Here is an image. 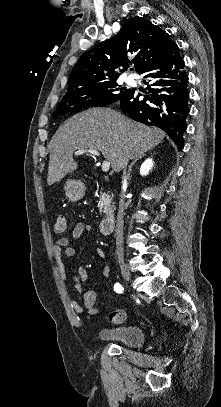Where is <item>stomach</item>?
Here are the masks:
<instances>
[{"instance_id": "stomach-1", "label": "stomach", "mask_w": 221, "mask_h": 407, "mask_svg": "<svg viewBox=\"0 0 221 407\" xmlns=\"http://www.w3.org/2000/svg\"><path fill=\"white\" fill-rule=\"evenodd\" d=\"M66 197L71 202H77L83 198L85 194V186L77 180H67L64 186Z\"/></svg>"}]
</instances>
